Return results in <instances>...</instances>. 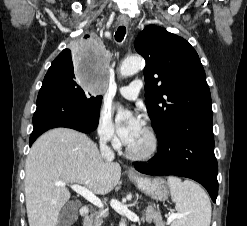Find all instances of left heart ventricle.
Here are the masks:
<instances>
[{
  "instance_id": "obj_1",
  "label": "left heart ventricle",
  "mask_w": 247,
  "mask_h": 226,
  "mask_svg": "<svg viewBox=\"0 0 247 226\" xmlns=\"http://www.w3.org/2000/svg\"><path fill=\"white\" fill-rule=\"evenodd\" d=\"M128 146L132 151L136 153L145 152L150 146V139L146 130L143 129L142 132L138 135V137Z\"/></svg>"
}]
</instances>
